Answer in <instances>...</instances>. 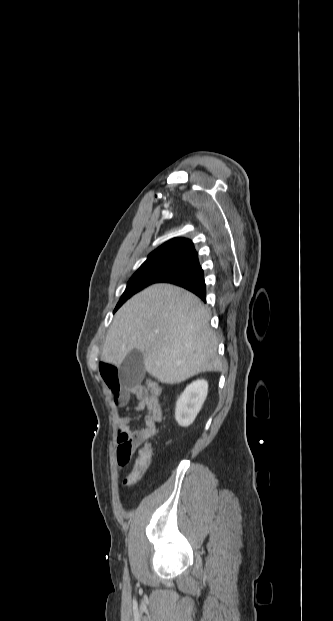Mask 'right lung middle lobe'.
I'll use <instances>...</instances> for the list:
<instances>
[{
  "label": "right lung middle lobe",
  "mask_w": 333,
  "mask_h": 621,
  "mask_svg": "<svg viewBox=\"0 0 333 621\" xmlns=\"http://www.w3.org/2000/svg\"><path fill=\"white\" fill-rule=\"evenodd\" d=\"M185 261V259L180 258H164L154 261H145L129 280L126 290L114 312L132 295L148 285L157 283L162 277L178 269Z\"/></svg>",
  "instance_id": "obj_1"
}]
</instances>
